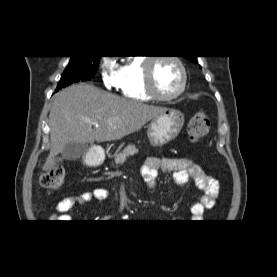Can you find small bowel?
Masks as SVG:
<instances>
[{
  "label": "small bowel",
  "mask_w": 277,
  "mask_h": 277,
  "mask_svg": "<svg viewBox=\"0 0 277 277\" xmlns=\"http://www.w3.org/2000/svg\"><path fill=\"white\" fill-rule=\"evenodd\" d=\"M173 173L177 185L184 186L192 181L202 191L200 201L191 207L193 219L201 220L205 211L214 207L220 195V184L217 179L209 176L206 172L190 158L170 157L159 159L150 157L141 167L140 173L150 188L156 186V178L159 171ZM110 191L106 188H95L69 195L60 200L51 220H70L72 217L68 212L76 205L88 206L92 201H105L110 198ZM62 222V221H55Z\"/></svg>",
  "instance_id": "c3829d8e"
}]
</instances>
